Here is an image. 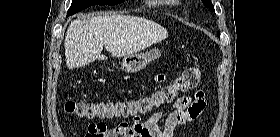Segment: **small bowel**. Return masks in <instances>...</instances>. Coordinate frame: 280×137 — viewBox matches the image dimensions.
I'll list each match as a JSON object with an SVG mask.
<instances>
[{
	"instance_id": "obj_1",
	"label": "small bowel",
	"mask_w": 280,
	"mask_h": 137,
	"mask_svg": "<svg viewBox=\"0 0 280 137\" xmlns=\"http://www.w3.org/2000/svg\"><path fill=\"white\" fill-rule=\"evenodd\" d=\"M163 79L158 77L159 81ZM205 107L206 94L198 89L192 96L176 99L167 113L156 112L144 121L136 116L131 124L119 123L115 128H108L104 123L90 124L85 137H122L126 133H137L138 137H172L178 126L196 121ZM160 121H163L161 126Z\"/></svg>"
}]
</instances>
